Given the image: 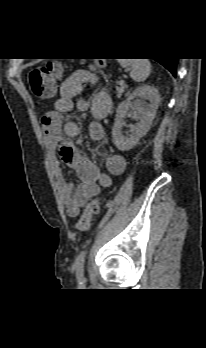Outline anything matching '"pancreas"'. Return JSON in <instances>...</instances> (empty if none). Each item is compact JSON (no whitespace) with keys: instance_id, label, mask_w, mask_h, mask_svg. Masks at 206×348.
<instances>
[{"instance_id":"pancreas-1","label":"pancreas","mask_w":206,"mask_h":348,"mask_svg":"<svg viewBox=\"0 0 206 348\" xmlns=\"http://www.w3.org/2000/svg\"><path fill=\"white\" fill-rule=\"evenodd\" d=\"M118 84L119 86L116 87V95L118 98H120L127 89V85L125 83L121 84L120 82Z\"/></svg>"}]
</instances>
